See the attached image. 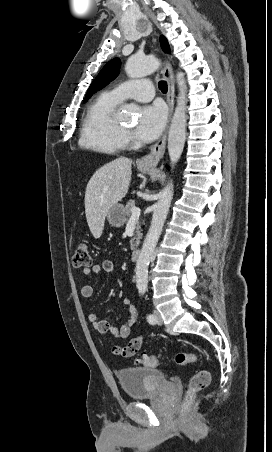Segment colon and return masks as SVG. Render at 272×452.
<instances>
[{"mask_svg":"<svg viewBox=\"0 0 272 452\" xmlns=\"http://www.w3.org/2000/svg\"><path fill=\"white\" fill-rule=\"evenodd\" d=\"M91 256L89 247L85 243H80L76 246L73 255V266L76 268L88 267L91 265ZM116 353L125 357H130L138 353L139 342L132 340L124 347L114 348ZM137 364L147 367H156L159 364V357L156 355L143 354L137 359ZM175 362L178 365L194 364L197 362V356L190 352H179L175 356ZM210 382V373L203 369L196 372L189 380L188 387L185 393L184 402L189 404L195 395L205 389Z\"/></svg>","mask_w":272,"mask_h":452,"instance_id":"colon-1","label":"colon"}]
</instances>
